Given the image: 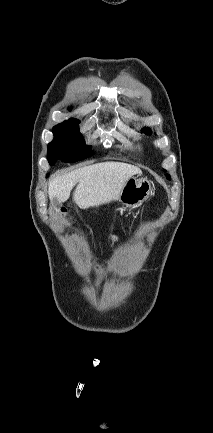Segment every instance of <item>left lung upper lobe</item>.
Listing matches in <instances>:
<instances>
[{"mask_svg":"<svg viewBox=\"0 0 213 433\" xmlns=\"http://www.w3.org/2000/svg\"><path fill=\"white\" fill-rule=\"evenodd\" d=\"M142 132H144V133H146V134H151V133H152L151 129H150V128H146V127L142 129ZM164 171H166V170H164ZM166 177H167L169 180L171 179V177H170L169 174H166Z\"/></svg>","mask_w":213,"mask_h":433,"instance_id":"left-lung-upper-lobe-1","label":"left lung upper lobe"}]
</instances>
